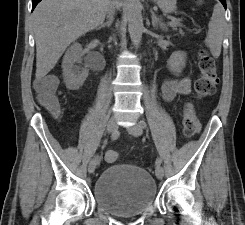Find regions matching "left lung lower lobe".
Returning <instances> with one entry per match:
<instances>
[{
  "instance_id": "0a47b994",
  "label": "left lung lower lobe",
  "mask_w": 245,
  "mask_h": 225,
  "mask_svg": "<svg viewBox=\"0 0 245 225\" xmlns=\"http://www.w3.org/2000/svg\"><path fill=\"white\" fill-rule=\"evenodd\" d=\"M222 4H223V6L226 8V0H219Z\"/></svg>"
}]
</instances>
